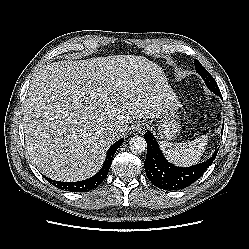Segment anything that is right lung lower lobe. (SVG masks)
Listing matches in <instances>:
<instances>
[{"mask_svg":"<svg viewBox=\"0 0 249 249\" xmlns=\"http://www.w3.org/2000/svg\"><path fill=\"white\" fill-rule=\"evenodd\" d=\"M123 141L124 138H121L120 140L115 142L112 146H110L102 168L99 170L97 174H95L91 178L77 182H60V181L51 180L47 177L46 180L50 182L52 185L70 192H87L95 189L107 177L114 154L117 151V149L120 147V145L123 143Z\"/></svg>","mask_w":249,"mask_h":249,"instance_id":"right-lung-lower-lobe-1","label":"right lung lower lobe"}]
</instances>
